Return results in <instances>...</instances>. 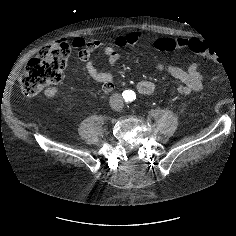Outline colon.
I'll use <instances>...</instances> for the list:
<instances>
[{"mask_svg": "<svg viewBox=\"0 0 236 236\" xmlns=\"http://www.w3.org/2000/svg\"><path fill=\"white\" fill-rule=\"evenodd\" d=\"M156 48L160 51H171L175 44L172 39L161 38L157 40ZM189 48L200 53L203 58L215 61L223 54L219 47H211L199 40H193ZM70 53L71 47L67 42H55L43 47L39 56L31 59L19 76L18 83L23 94L34 96L44 88L61 82Z\"/></svg>", "mask_w": 236, "mask_h": 236, "instance_id": "5ec220e1", "label": "colon"}]
</instances>
